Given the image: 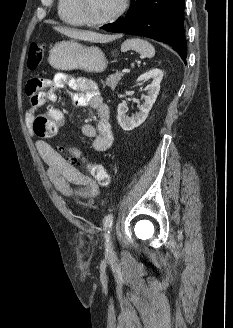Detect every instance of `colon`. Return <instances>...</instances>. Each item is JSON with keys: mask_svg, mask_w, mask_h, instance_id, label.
<instances>
[{"mask_svg": "<svg viewBox=\"0 0 233 328\" xmlns=\"http://www.w3.org/2000/svg\"><path fill=\"white\" fill-rule=\"evenodd\" d=\"M44 49L37 43H32L29 47L27 57V67L35 70L43 60ZM65 122L64 114L59 110H52L46 113L37 114L33 119V131L38 137L46 138L54 136ZM57 151L67 154L68 159L76 161V154L73 150L60 146ZM73 163V162H72ZM91 173L102 185L109 183V175L101 166H91Z\"/></svg>", "mask_w": 233, "mask_h": 328, "instance_id": "colon-1", "label": "colon"}]
</instances>
